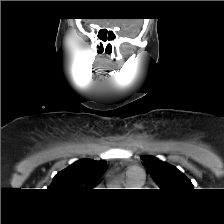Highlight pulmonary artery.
<instances>
[{"mask_svg":"<svg viewBox=\"0 0 224 224\" xmlns=\"http://www.w3.org/2000/svg\"><path fill=\"white\" fill-rule=\"evenodd\" d=\"M127 180L129 183L135 186H139L143 183V173L138 168H130L127 171Z\"/></svg>","mask_w":224,"mask_h":224,"instance_id":"1","label":"pulmonary artery"}]
</instances>
